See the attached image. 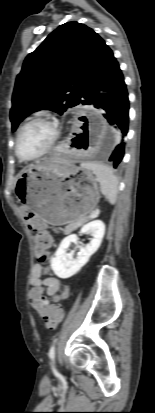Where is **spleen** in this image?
<instances>
[{
	"mask_svg": "<svg viewBox=\"0 0 155 413\" xmlns=\"http://www.w3.org/2000/svg\"><path fill=\"white\" fill-rule=\"evenodd\" d=\"M81 167L91 171L96 176L100 184L101 193L110 204H114L118 193V178L115 176L112 168L94 162L82 163Z\"/></svg>",
	"mask_w": 155,
	"mask_h": 413,
	"instance_id": "1",
	"label": "spleen"
}]
</instances>
